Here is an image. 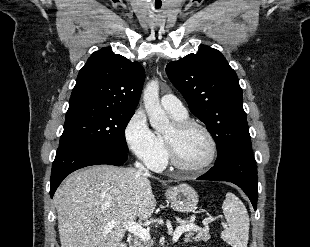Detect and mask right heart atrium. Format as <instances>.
<instances>
[{
  "label": "right heart atrium",
  "mask_w": 310,
  "mask_h": 247,
  "mask_svg": "<svg viewBox=\"0 0 310 247\" xmlns=\"http://www.w3.org/2000/svg\"><path fill=\"white\" fill-rule=\"evenodd\" d=\"M124 139L132 153L153 170L164 167L166 150L150 129L145 114L137 111L124 128Z\"/></svg>",
  "instance_id": "obj_1"
}]
</instances>
